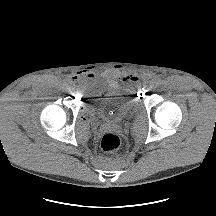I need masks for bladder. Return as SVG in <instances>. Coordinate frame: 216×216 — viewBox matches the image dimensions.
<instances>
[{"label": "bladder", "mask_w": 216, "mask_h": 216, "mask_svg": "<svg viewBox=\"0 0 216 216\" xmlns=\"http://www.w3.org/2000/svg\"><path fill=\"white\" fill-rule=\"evenodd\" d=\"M84 93L87 95L86 104L89 110L97 113L100 121L106 124H118L123 117L131 115L137 107L136 99L113 87L87 86Z\"/></svg>", "instance_id": "1"}]
</instances>
